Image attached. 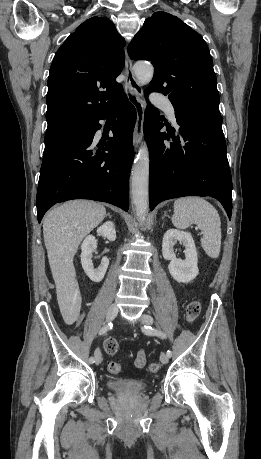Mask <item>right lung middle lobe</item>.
I'll list each match as a JSON object with an SVG mask.
<instances>
[{"label": "right lung middle lobe", "mask_w": 261, "mask_h": 459, "mask_svg": "<svg viewBox=\"0 0 261 459\" xmlns=\"http://www.w3.org/2000/svg\"><path fill=\"white\" fill-rule=\"evenodd\" d=\"M90 124L91 121L67 120L48 126L45 135L44 156L87 134Z\"/></svg>", "instance_id": "obj_1"}]
</instances>
